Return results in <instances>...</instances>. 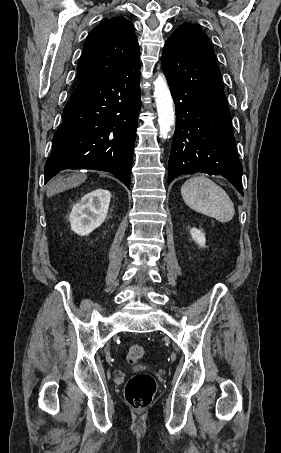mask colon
Masks as SVG:
<instances>
[{
  "label": "colon",
  "instance_id": "5ec220e1",
  "mask_svg": "<svg viewBox=\"0 0 281 453\" xmlns=\"http://www.w3.org/2000/svg\"><path fill=\"white\" fill-rule=\"evenodd\" d=\"M145 350L141 345L131 346L126 359L130 364H140L144 360ZM156 385L152 375L135 373L129 376L125 387V400L129 407L136 411L147 409L155 394Z\"/></svg>",
  "mask_w": 281,
  "mask_h": 453
}]
</instances>
